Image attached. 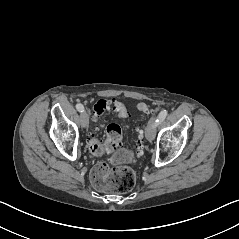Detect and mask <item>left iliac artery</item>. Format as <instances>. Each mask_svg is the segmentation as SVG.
Returning a JSON list of instances; mask_svg holds the SVG:
<instances>
[{
  "instance_id": "left-iliac-artery-1",
  "label": "left iliac artery",
  "mask_w": 239,
  "mask_h": 239,
  "mask_svg": "<svg viewBox=\"0 0 239 239\" xmlns=\"http://www.w3.org/2000/svg\"><path fill=\"white\" fill-rule=\"evenodd\" d=\"M167 114H168V112H167V110H162L160 113H159V115H158V117H157V119H156V126L157 125H159L166 117H167Z\"/></svg>"
}]
</instances>
